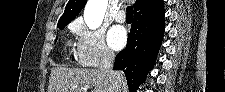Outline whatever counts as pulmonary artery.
Returning <instances> with one entry per match:
<instances>
[{"instance_id":"pulmonary-artery-1","label":"pulmonary artery","mask_w":225,"mask_h":92,"mask_svg":"<svg viewBox=\"0 0 225 92\" xmlns=\"http://www.w3.org/2000/svg\"><path fill=\"white\" fill-rule=\"evenodd\" d=\"M126 19V15L124 11H119L115 14V20L119 23H123Z\"/></svg>"}]
</instances>
